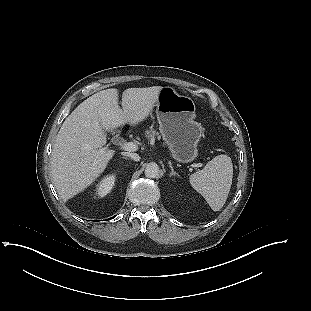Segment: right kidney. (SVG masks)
<instances>
[{
	"label": "right kidney",
	"mask_w": 311,
	"mask_h": 311,
	"mask_svg": "<svg viewBox=\"0 0 311 311\" xmlns=\"http://www.w3.org/2000/svg\"><path fill=\"white\" fill-rule=\"evenodd\" d=\"M113 185H114L113 177H108L103 181H101L100 184L97 186L96 190L98 196L104 197L105 195H107L111 191Z\"/></svg>",
	"instance_id": "right-kidney-1"
}]
</instances>
